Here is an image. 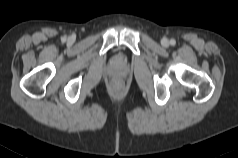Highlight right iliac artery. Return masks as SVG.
Instances as JSON below:
<instances>
[{"mask_svg": "<svg viewBox=\"0 0 238 158\" xmlns=\"http://www.w3.org/2000/svg\"><path fill=\"white\" fill-rule=\"evenodd\" d=\"M62 41H66V37H63V38H62Z\"/></svg>", "mask_w": 238, "mask_h": 158, "instance_id": "obj_1", "label": "right iliac artery"}]
</instances>
